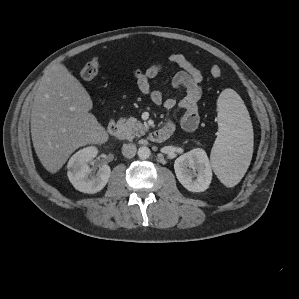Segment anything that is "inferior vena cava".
I'll use <instances>...</instances> for the list:
<instances>
[{
	"label": "inferior vena cava",
	"instance_id": "inferior-vena-cava-1",
	"mask_svg": "<svg viewBox=\"0 0 299 299\" xmlns=\"http://www.w3.org/2000/svg\"><path fill=\"white\" fill-rule=\"evenodd\" d=\"M136 146L134 144H124L122 147V154L127 158H132L136 154Z\"/></svg>",
	"mask_w": 299,
	"mask_h": 299
}]
</instances>
